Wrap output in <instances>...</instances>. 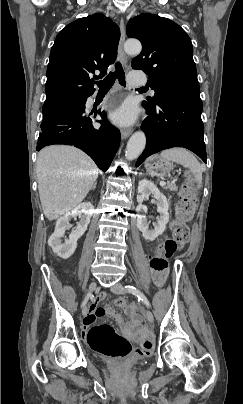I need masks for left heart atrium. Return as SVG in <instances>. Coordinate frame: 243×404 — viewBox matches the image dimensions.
I'll use <instances>...</instances> for the list:
<instances>
[{"label": "left heart atrium", "mask_w": 243, "mask_h": 404, "mask_svg": "<svg viewBox=\"0 0 243 404\" xmlns=\"http://www.w3.org/2000/svg\"><path fill=\"white\" fill-rule=\"evenodd\" d=\"M110 119L117 125H128L134 120V114L129 106H122L110 114Z\"/></svg>", "instance_id": "left-heart-atrium-1"}]
</instances>
